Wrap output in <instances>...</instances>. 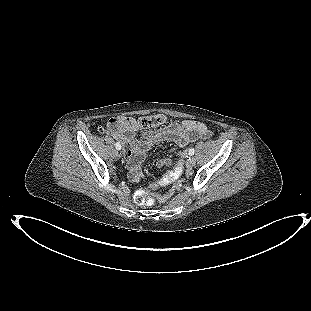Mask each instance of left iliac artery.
Returning <instances> with one entry per match:
<instances>
[{"label":"left iliac artery","instance_id":"1","mask_svg":"<svg viewBox=\"0 0 311 311\" xmlns=\"http://www.w3.org/2000/svg\"><path fill=\"white\" fill-rule=\"evenodd\" d=\"M194 152H195L194 148H190V149H189V154H190L191 156L194 155Z\"/></svg>","mask_w":311,"mask_h":311}]
</instances>
